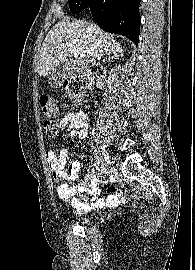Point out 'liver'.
Segmentation results:
<instances>
[{"label":"liver","instance_id":"6515ba94","mask_svg":"<svg viewBox=\"0 0 195 270\" xmlns=\"http://www.w3.org/2000/svg\"><path fill=\"white\" fill-rule=\"evenodd\" d=\"M78 52L77 65L87 68L96 58L106 56L113 59L122 48L97 25L85 21H60L47 34L40 51L38 74L47 76L66 62L70 50Z\"/></svg>","mask_w":195,"mask_h":270}]
</instances>
